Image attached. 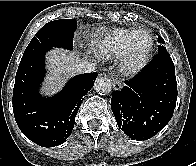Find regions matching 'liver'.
<instances>
[{"instance_id":"obj_1","label":"liver","mask_w":196,"mask_h":166,"mask_svg":"<svg viewBox=\"0 0 196 166\" xmlns=\"http://www.w3.org/2000/svg\"><path fill=\"white\" fill-rule=\"evenodd\" d=\"M80 62L79 55L63 49L54 48L46 56L49 74L46 76L40 92L45 95L56 93L61 89L68 76L75 73Z\"/></svg>"}]
</instances>
